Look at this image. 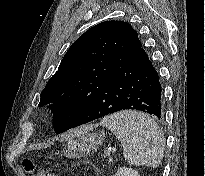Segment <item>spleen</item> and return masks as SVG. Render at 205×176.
<instances>
[{
	"mask_svg": "<svg viewBox=\"0 0 205 176\" xmlns=\"http://www.w3.org/2000/svg\"><path fill=\"white\" fill-rule=\"evenodd\" d=\"M100 124L121 142L126 161L153 168L160 165L165 139L151 117L138 111H120L103 118Z\"/></svg>",
	"mask_w": 205,
	"mask_h": 176,
	"instance_id": "3e777b00",
	"label": "spleen"
}]
</instances>
